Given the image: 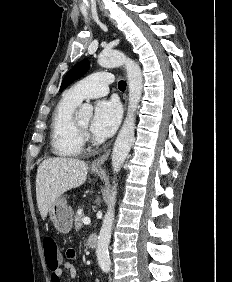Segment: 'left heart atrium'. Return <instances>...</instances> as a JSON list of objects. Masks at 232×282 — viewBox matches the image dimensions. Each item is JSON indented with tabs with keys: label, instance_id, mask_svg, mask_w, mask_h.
Instances as JSON below:
<instances>
[{
	"label": "left heart atrium",
	"instance_id": "left-heart-atrium-1",
	"mask_svg": "<svg viewBox=\"0 0 232 282\" xmlns=\"http://www.w3.org/2000/svg\"><path fill=\"white\" fill-rule=\"evenodd\" d=\"M121 115V106L117 100H100L95 106L90 129L98 136L108 137L116 131Z\"/></svg>",
	"mask_w": 232,
	"mask_h": 282
}]
</instances>
